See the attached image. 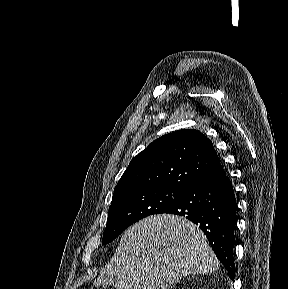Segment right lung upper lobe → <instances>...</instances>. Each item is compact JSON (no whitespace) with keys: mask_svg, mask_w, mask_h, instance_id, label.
Returning a JSON list of instances; mask_svg holds the SVG:
<instances>
[{"mask_svg":"<svg viewBox=\"0 0 288 289\" xmlns=\"http://www.w3.org/2000/svg\"><path fill=\"white\" fill-rule=\"evenodd\" d=\"M219 163L211 140L200 131H175L153 141L131 160L114 194L142 188L186 189Z\"/></svg>","mask_w":288,"mask_h":289,"instance_id":"obj_1","label":"right lung upper lobe"}]
</instances>
